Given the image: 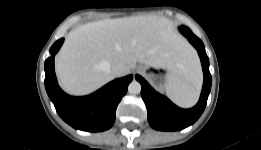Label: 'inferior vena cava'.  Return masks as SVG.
Segmentation results:
<instances>
[{"label": "inferior vena cava", "instance_id": "1", "mask_svg": "<svg viewBox=\"0 0 261 150\" xmlns=\"http://www.w3.org/2000/svg\"><path fill=\"white\" fill-rule=\"evenodd\" d=\"M110 71L115 77H120L125 75L127 67L123 63H116L111 66Z\"/></svg>", "mask_w": 261, "mask_h": 150}]
</instances>
